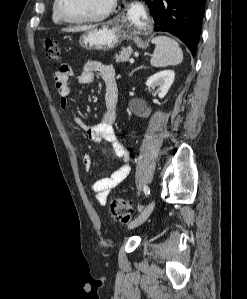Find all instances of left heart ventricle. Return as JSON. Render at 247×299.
<instances>
[{"label":"left heart ventricle","mask_w":247,"mask_h":299,"mask_svg":"<svg viewBox=\"0 0 247 299\" xmlns=\"http://www.w3.org/2000/svg\"><path fill=\"white\" fill-rule=\"evenodd\" d=\"M111 0H62L64 13L71 18L92 17L103 12Z\"/></svg>","instance_id":"left-heart-ventricle-1"}]
</instances>
